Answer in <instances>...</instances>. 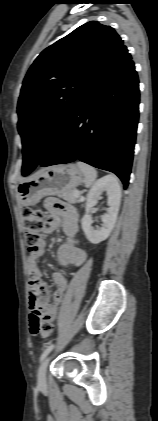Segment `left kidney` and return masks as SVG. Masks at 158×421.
<instances>
[{"instance_id": "1", "label": "left kidney", "mask_w": 158, "mask_h": 421, "mask_svg": "<svg viewBox=\"0 0 158 421\" xmlns=\"http://www.w3.org/2000/svg\"><path fill=\"white\" fill-rule=\"evenodd\" d=\"M106 191L107 204L109 209L104 214L102 219V226L94 229L92 227V217L90 210L98 203L101 194ZM121 201V187L115 176L107 175L99 179L94 186L91 188L87 195V201L85 206V215L81 220L82 229L86 235V238L92 244H98L108 238L112 229L114 228L119 207Z\"/></svg>"}]
</instances>
